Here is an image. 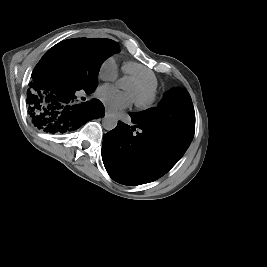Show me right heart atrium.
<instances>
[{"label":"right heart atrium","mask_w":267,"mask_h":267,"mask_svg":"<svg viewBox=\"0 0 267 267\" xmlns=\"http://www.w3.org/2000/svg\"><path fill=\"white\" fill-rule=\"evenodd\" d=\"M114 60L108 59L101 69V75L106 79H115L117 77V70L113 66Z\"/></svg>","instance_id":"right-heart-atrium-1"}]
</instances>
